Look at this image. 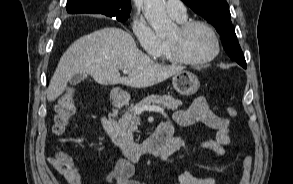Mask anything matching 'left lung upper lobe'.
<instances>
[{"label": "left lung upper lobe", "instance_id": "1", "mask_svg": "<svg viewBox=\"0 0 293 184\" xmlns=\"http://www.w3.org/2000/svg\"><path fill=\"white\" fill-rule=\"evenodd\" d=\"M194 12L214 25L220 34L223 47L238 64H246L231 22L229 5L226 0H182Z\"/></svg>", "mask_w": 293, "mask_h": 184}]
</instances>
